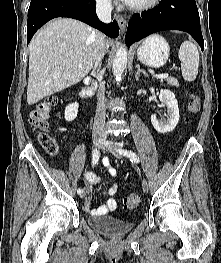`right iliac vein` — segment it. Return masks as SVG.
Segmentation results:
<instances>
[{"mask_svg": "<svg viewBox=\"0 0 221 263\" xmlns=\"http://www.w3.org/2000/svg\"><path fill=\"white\" fill-rule=\"evenodd\" d=\"M104 142V138L100 135H95L93 137V144L95 147H100ZM86 196V191H83L81 194H80V197L81 198H84Z\"/></svg>", "mask_w": 221, "mask_h": 263, "instance_id": "right-iliac-vein-1", "label": "right iliac vein"}]
</instances>
